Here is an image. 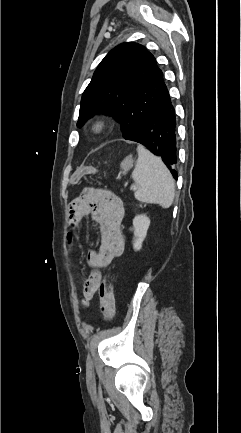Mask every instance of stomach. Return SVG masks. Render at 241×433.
I'll list each match as a JSON object with an SVG mask.
<instances>
[{
    "mask_svg": "<svg viewBox=\"0 0 241 433\" xmlns=\"http://www.w3.org/2000/svg\"><path fill=\"white\" fill-rule=\"evenodd\" d=\"M134 159L132 155L127 156L120 164L122 173H127L133 167Z\"/></svg>",
    "mask_w": 241,
    "mask_h": 433,
    "instance_id": "1",
    "label": "stomach"
}]
</instances>
